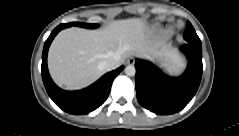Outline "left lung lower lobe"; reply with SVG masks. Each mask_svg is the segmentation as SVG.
<instances>
[{
    "mask_svg": "<svg viewBox=\"0 0 239 136\" xmlns=\"http://www.w3.org/2000/svg\"><path fill=\"white\" fill-rule=\"evenodd\" d=\"M180 50L188 59L187 69L178 78H170L149 61L137 59L136 96L138 102L156 114H173L193 98L202 77V47L187 43Z\"/></svg>",
    "mask_w": 239,
    "mask_h": 136,
    "instance_id": "0a47b994",
    "label": "left lung lower lobe"
}]
</instances>
